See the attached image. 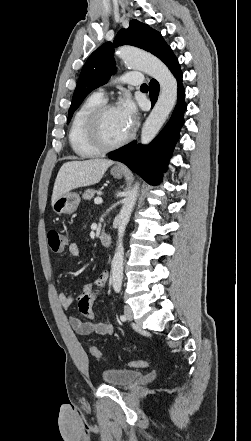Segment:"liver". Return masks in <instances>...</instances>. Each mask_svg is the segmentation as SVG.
<instances>
[{"label": "liver", "mask_w": 251, "mask_h": 441, "mask_svg": "<svg viewBox=\"0 0 251 441\" xmlns=\"http://www.w3.org/2000/svg\"><path fill=\"white\" fill-rule=\"evenodd\" d=\"M114 162L106 159H89L66 162L60 168L53 188L52 204L63 194L79 187L98 183Z\"/></svg>", "instance_id": "obj_1"}]
</instances>
